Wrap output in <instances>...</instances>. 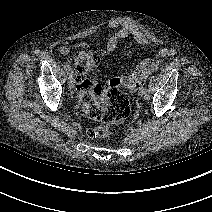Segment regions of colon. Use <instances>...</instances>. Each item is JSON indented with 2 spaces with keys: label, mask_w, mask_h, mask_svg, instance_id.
<instances>
[{
  "label": "colon",
  "mask_w": 212,
  "mask_h": 212,
  "mask_svg": "<svg viewBox=\"0 0 212 212\" xmlns=\"http://www.w3.org/2000/svg\"><path fill=\"white\" fill-rule=\"evenodd\" d=\"M75 70L81 112L96 122L87 133L93 138H105L121 129L131 113L128 96L121 87L139 88L144 77L124 74L112 79L104 88L91 76L100 63L98 54L81 50L75 54Z\"/></svg>",
  "instance_id": "obj_1"
}]
</instances>
